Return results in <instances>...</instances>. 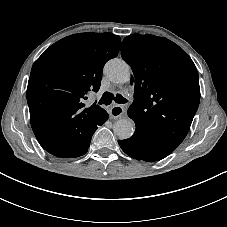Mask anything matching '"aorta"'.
Returning a JSON list of instances; mask_svg holds the SVG:
<instances>
[{
    "label": "aorta",
    "instance_id": "aorta-1",
    "mask_svg": "<svg viewBox=\"0 0 227 227\" xmlns=\"http://www.w3.org/2000/svg\"><path fill=\"white\" fill-rule=\"evenodd\" d=\"M104 73L114 83L123 84L130 80V67L122 59L109 60L104 67ZM135 125L131 119L122 118L115 122L114 133L120 139H128L134 133Z\"/></svg>",
    "mask_w": 227,
    "mask_h": 227
}]
</instances>
